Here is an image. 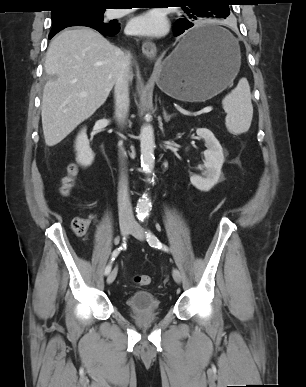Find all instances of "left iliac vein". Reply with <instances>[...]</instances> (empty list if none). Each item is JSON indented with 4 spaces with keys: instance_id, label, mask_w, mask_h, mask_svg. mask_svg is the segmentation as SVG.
I'll list each match as a JSON object with an SVG mask.
<instances>
[{
    "instance_id": "4c4485c4",
    "label": "left iliac vein",
    "mask_w": 306,
    "mask_h": 387,
    "mask_svg": "<svg viewBox=\"0 0 306 387\" xmlns=\"http://www.w3.org/2000/svg\"><path fill=\"white\" fill-rule=\"evenodd\" d=\"M130 233L139 240L145 239V230L142 228V226H140L136 222H134L132 224V228L130 230ZM172 276H173V279L175 280L176 283H178V284L181 283L182 275L178 269H176V268L173 269Z\"/></svg>"
}]
</instances>
